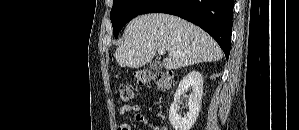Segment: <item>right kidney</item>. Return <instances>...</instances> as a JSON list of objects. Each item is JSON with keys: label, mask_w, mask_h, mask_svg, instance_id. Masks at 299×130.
I'll return each instance as SVG.
<instances>
[{"label": "right kidney", "mask_w": 299, "mask_h": 130, "mask_svg": "<svg viewBox=\"0 0 299 130\" xmlns=\"http://www.w3.org/2000/svg\"><path fill=\"white\" fill-rule=\"evenodd\" d=\"M189 87L192 93L188 100V112L184 117L178 115V101L180 96ZM203 94V77L198 71L189 72L179 83L174 94V102L169 109V120L175 130H190L200 112L201 98Z\"/></svg>", "instance_id": "obj_1"}]
</instances>
